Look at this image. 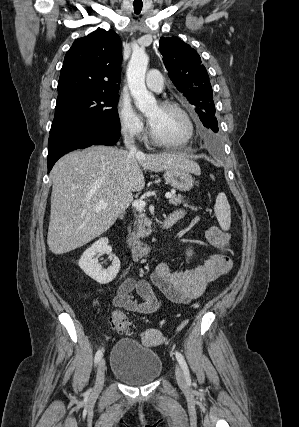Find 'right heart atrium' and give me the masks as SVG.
I'll use <instances>...</instances> for the list:
<instances>
[{"label":"right heart atrium","mask_w":299,"mask_h":427,"mask_svg":"<svg viewBox=\"0 0 299 427\" xmlns=\"http://www.w3.org/2000/svg\"><path fill=\"white\" fill-rule=\"evenodd\" d=\"M117 119L121 133L128 139L140 140L145 135L142 118L136 113L126 97H120L116 107Z\"/></svg>","instance_id":"d8ad5b80"}]
</instances>
